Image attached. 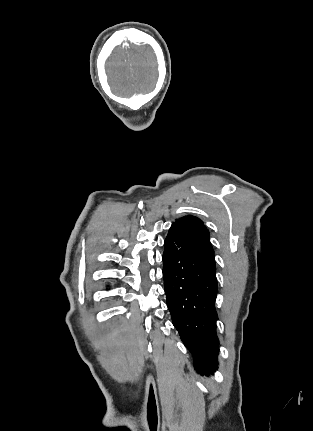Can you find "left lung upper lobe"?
<instances>
[{
	"mask_svg": "<svg viewBox=\"0 0 313 431\" xmlns=\"http://www.w3.org/2000/svg\"><path fill=\"white\" fill-rule=\"evenodd\" d=\"M171 227L180 228L191 238L202 243L214 253L209 240V231L199 218L188 215L177 219Z\"/></svg>",
	"mask_w": 313,
	"mask_h": 431,
	"instance_id": "left-lung-upper-lobe-1",
	"label": "left lung upper lobe"
}]
</instances>
